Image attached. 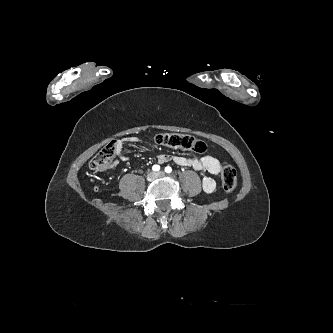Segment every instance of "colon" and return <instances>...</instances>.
Segmentation results:
<instances>
[{
    "mask_svg": "<svg viewBox=\"0 0 333 333\" xmlns=\"http://www.w3.org/2000/svg\"><path fill=\"white\" fill-rule=\"evenodd\" d=\"M154 141L166 147L191 151L197 154L206 152V143L188 134L162 133L154 137ZM117 145L111 142L106 145L90 162V168L95 171H102L112 165ZM221 179L223 189L227 193H232L237 185L236 169L229 163L221 165Z\"/></svg>",
    "mask_w": 333,
    "mask_h": 333,
    "instance_id": "obj_1",
    "label": "colon"
}]
</instances>
